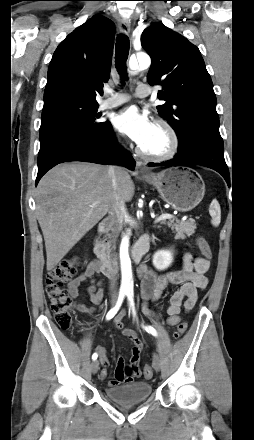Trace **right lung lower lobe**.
Instances as JSON below:
<instances>
[{"label": "right lung lower lobe", "mask_w": 254, "mask_h": 440, "mask_svg": "<svg viewBox=\"0 0 254 440\" xmlns=\"http://www.w3.org/2000/svg\"><path fill=\"white\" fill-rule=\"evenodd\" d=\"M69 161L116 164L130 170L135 169V160L129 151L117 143L109 121L105 122V127L99 134L84 136L79 140L61 142L53 146L41 159H38L36 185L52 167Z\"/></svg>", "instance_id": "98d812e1"}]
</instances>
